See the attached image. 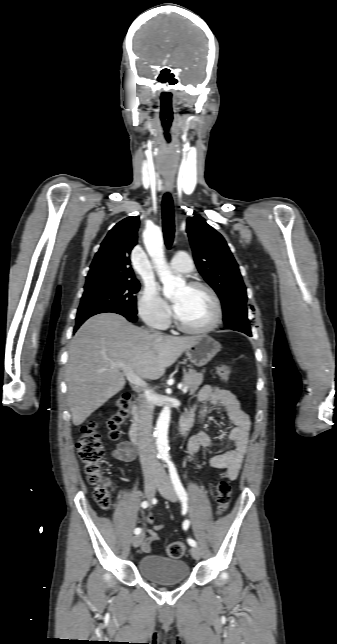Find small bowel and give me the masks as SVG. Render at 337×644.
Masks as SVG:
<instances>
[{
  "instance_id": "1",
  "label": "small bowel",
  "mask_w": 337,
  "mask_h": 644,
  "mask_svg": "<svg viewBox=\"0 0 337 644\" xmlns=\"http://www.w3.org/2000/svg\"><path fill=\"white\" fill-rule=\"evenodd\" d=\"M199 406V420L202 421L204 416L213 407H222L233 427L227 434V439L234 443V448L223 453L212 454L209 457V463L214 468H226L227 476L234 480L240 471L244 456L248 447L249 431L251 421L249 416L243 410L238 397L230 390L218 386L205 385L197 395L196 404L189 409L185 415L192 420L194 413ZM213 445L212 438L204 431H199L189 439L187 446V458L190 461L192 457L201 449ZM113 457L122 462H131L136 458V449L128 441L121 442L112 452ZM145 521L151 524V528L144 527V538L140 544L143 552H149L153 543L159 540L158 531L164 529V525L157 523L150 514L144 515Z\"/></svg>"
}]
</instances>
